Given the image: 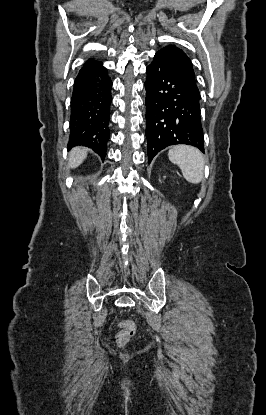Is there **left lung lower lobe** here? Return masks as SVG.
Listing matches in <instances>:
<instances>
[{
	"label": "left lung lower lobe",
	"instance_id": "1",
	"mask_svg": "<svg viewBox=\"0 0 266 415\" xmlns=\"http://www.w3.org/2000/svg\"><path fill=\"white\" fill-rule=\"evenodd\" d=\"M146 73L148 163L170 145H192L204 152L200 93L158 52Z\"/></svg>",
	"mask_w": 266,
	"mask_h": 415
}]
</instances>
